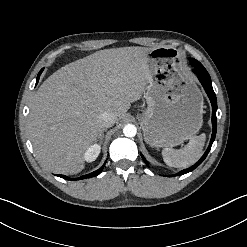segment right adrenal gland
Wrapping results in <instances>:
<instances>
[{"mask_svg":"<svg viewBox=\"0 0 247 247\" xmlns=\"http://www.w3.org/2000/svg\"><path fill=\"white\" fill-rule=\"evenodd\" d=\"M104 131H105V129H102V130H101V132H100V134H99V138H100V140H102V139H103V135H104V134H103V132H104Z\"/></svg>","mask_w":247,"mask_h":247,"instance_id":"1","label":"right adrenal gland"}]
</instances>
